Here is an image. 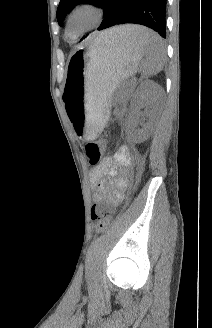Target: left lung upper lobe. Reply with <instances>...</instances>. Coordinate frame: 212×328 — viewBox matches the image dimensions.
<instances>
[{
	"label": "left lung upper lobe",
	"mask_w": 212,
	"mask_h": 328,
	"mask_svg": "<svg viewBox=\"0 0 212 328\" xmlns=\"http://www.w3.org/2000/svg\"><path fill=\"white\" fill-rule=\"evenodd\" d=\"M105 2L106 0H61L57 9V21L60 25H62V22L67 13H69L77 4L89 3L102 7L104 9Z\"/></svg>",
	"instance_id": "5c2ea615"
}]
</instances>
